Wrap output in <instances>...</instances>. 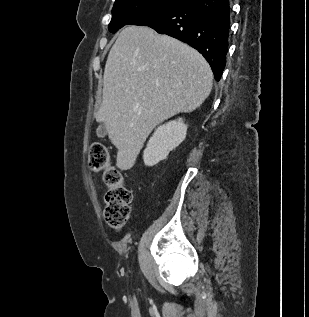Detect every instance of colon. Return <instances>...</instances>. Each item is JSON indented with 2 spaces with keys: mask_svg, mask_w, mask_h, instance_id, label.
I'll use <instances>...</instances> for the list:
<instances>
[{
  "mask_svg": "<svg viewBox=\"0 0 309 317\" xmlns=\"http://www.w3.org/2000/svg\"><path fill=\"white\" fill-rule=\"evenodd\" d=\"M88 166L91 170L103 172L107 187L104 201V218L113 229L122 228L130 215L132 194L125 186L123 175L111 166L107 148L101 142H93L89 147Z\"/></svg>",
  "mask_w": 309,
  "mask_h": 317,
  "instance_id": "5ec220e1",
  "label": "colon"
}]
</instances>
